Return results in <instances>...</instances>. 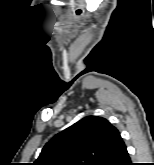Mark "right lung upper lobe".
Masks as SVG:
<instances>
[{
  "instance_id": "obj_1",
  "label": "right lung upper lobe",
  "mask_w": 154,
  "mask_h": 165,
  "mask_svg": "<svg viewBox=\"0 0 154 165\" xmlns=\"http://www.w3.org/2000/svg\"><path fill=\"white\" fill-rule=\"evenodd\" d=\"M120 139L108 120L87 116L54 136L34 165H105Z\"/></svg>"
}]
</instances>
